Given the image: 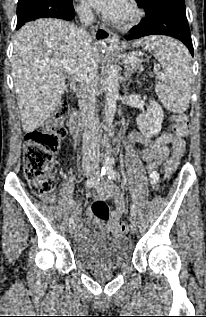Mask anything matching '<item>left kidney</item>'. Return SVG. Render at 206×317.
<instances>
[{
	"instance_id": "obj_1",
	"label": "left kidney",
	"mask_w": 206,
	"mask_h": 317,
	"mask_svg": "<svg viewBox=\"0 0 206 317\" xmlns=\"http://www.w3.org/2000/svg\"><path fill=\"white\" fill-rule=\"evenodd\" d=\"M164 113L161 106L155 101H151L146 113L137 117L139 130L146 137H153L161 131Z\"/></svg>"
}]
</instances>
